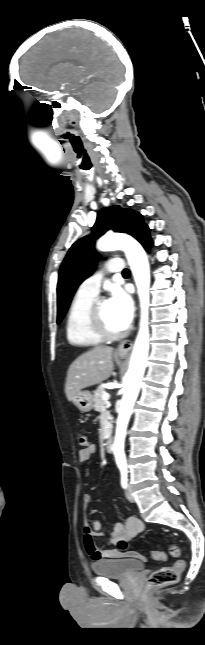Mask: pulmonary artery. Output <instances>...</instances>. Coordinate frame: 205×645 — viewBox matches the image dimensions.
<instances>
[{"mask_svg":"<svg viewBox=\"0 0 205 645\" xmlns=\"http://www.w3.org/2000/svg\"><path fill=\"white\" fill-rule=\"evenodd\" d=\"M123 270L124 263L120 258H113L109 260L105 266V272L108 273L121 272ZM103 276V271L90 276L81 283L78 291L96 296L99 292Z\"/></svg>","mask_w":205,"mask_h":645,"instance_id":"pulmonary-artery-1","label":"pulmonary artery"}]
</instances>
